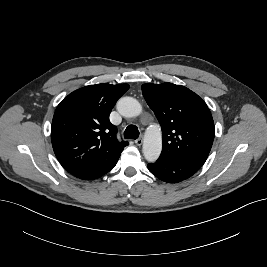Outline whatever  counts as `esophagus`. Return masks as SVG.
Wrapping results in <instances>:
<instances>
[{
    "label": "esophagus",
    "mask_w": 267,
    "mask_h": 267,
    "mask_svg": "<svg viewBox=\"0 0 267 267\" xmlns=\"http://www.w3.org/2000/svg\"><path fill=\"white\" fill-rule=\"evenodd\" d=\"M143 143V139L142 138H138L135 140V144L138 145V146H141Z\"/></svg>",
    "instance_id": "1"
}]
</instances>
